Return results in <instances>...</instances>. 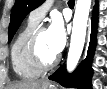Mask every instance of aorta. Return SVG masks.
Returning a JSON list of instances; mask_svg holds the SVG:
<instances>
[{
    "label": "aorta",
    "instance_id": "obj_1",
    "mask_svg": "<svg viewBox=\"0 0 107 89\" xmlns=\"http://www.w3.org/2000/svg\"><path fill=\"white\" fill-rule=\"evenodd\" d=\"M90 7L91 0H77L73 18L70 48L67 57L68 72H72L76 68L81 57L85 43Z\"/></svg>",
    "mask_w": 107,
    "mask_h": 89
}]
</instances>
